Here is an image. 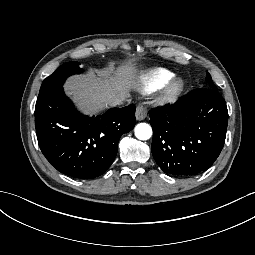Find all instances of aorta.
Segmentation results:
<instances>
[{"label": "aorta", "instance_id": "obj_1", "mask_svg": "<svg viewBox=\"0 0 255 255\" xmlns=\"http://www.w3.org/2000/svg\"><path fill=\"white\" fill-rule=\"evenodd\" d=\"M135 136L139 140H148L152 136V128L147 123H140L135 127Z\"/></svg>", "mask_w": 255, "mask_h": 255}]
</instances>
